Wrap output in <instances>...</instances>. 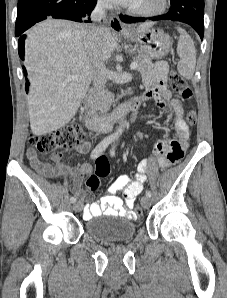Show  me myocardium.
Masks as SVG:
<instances>
[{
  "instance_id": "obj_1",
  "label": "myocardium",
  "mask_w": 227,
  "mask_h": 298,
  "mask_svg": "<svg viewBox=\"0 0 227 298\" xmlns=\"http://www.w3.org/2000/svg\"><path fill=\"white\" fill-rule=\"evenodd\" d=\"M168 6V0H158L157 6L152 9L128 8V13L137 17H156L162 15Z\"/></svg>"
}]
</instances>
